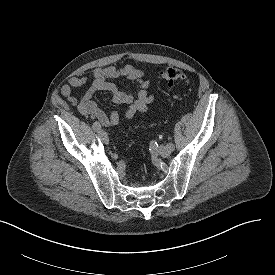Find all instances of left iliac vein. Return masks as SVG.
Returning <instances> with one entry per match:
<instances>
[{
	"instance_id": "obj_1",
	"label": "left iliac vein",
	"mask_w": 275,
	"mask_h": 275,
	"mask_svg": "<svg viewBox=\"0 0 275 275\" xmlns=\"http://www.w3.org/2000/svg\"><path fill=\"white\" fill-rule=\"evenodd\" d=\"M171 149L168 146H160L159 147V154L162 157H168L171 154Z\"/></svg>"
}]
</instances>
